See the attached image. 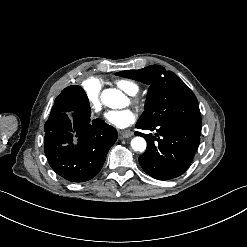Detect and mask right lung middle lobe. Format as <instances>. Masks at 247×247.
Masks as SVG:
<instances>
[{"mask_svg":"<svg viewBox=\"0 0 247 247\" xmlns=\"http://www.w3.org/2000/svg\"><path fill=\"white\" fill-rule=\"evenodd\" d=\"M68 90L70 93L75 94L77 98L83 103V105L90 106L87 95L80 86L78 85L68 86Z\"/></svg>","mask_w":247,"mask_h":247,"instance_id":"1","label":"right lung middle lobe"}]
</instances>
